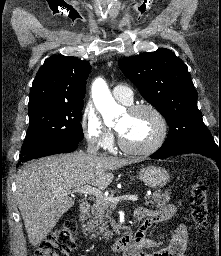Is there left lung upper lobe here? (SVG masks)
Here are the masks:
<instances>
[{"mask_svg": "<svg viewBox=\"0 0 221 256\" xmlns=\"http://www.w3.org/2000/svg\"><path fill=\"white\" fill-rule=\"evenodd\" d=\"M124 75L167 120L163 145L211 136L197 108V91L187 66L169 49L159 48L119 60Z\"/></svg>", "mask_w": 221, "mask_h": 256, "instance_id": "1", "label": "left lung upper lobe"}]
</instances>
